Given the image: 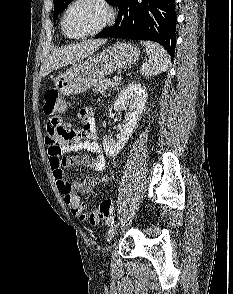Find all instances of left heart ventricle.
Returning a JSON list of instances; mask_svg holds the SVG:
<instances>
[{
  "instance_id": "obj_1",
  "label": "left heart ventricle",
  "mask_w": 233,
  "mask_h": 294,
  "mask_svg": "<svg viewBox=\"0 0 233 294\" xmlns=\"http://www.w3.org/2000/svg\"><path fill=\"white\" fill-rule=\"evenodd\" d=\"M105 18L104 9L91 1L75 5L67 15L66 29L72 35H82L98 27Z\"/></svg>"
}]
</instances>
